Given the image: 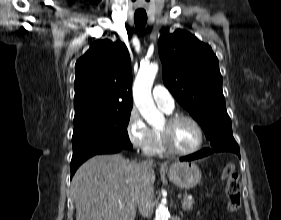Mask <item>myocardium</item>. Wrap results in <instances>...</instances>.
Instances as JSON below:
<instances>
[{
    "mask_svg": "<svg viewBox=\"0 0 281 220\" xmlns=\"http://www.w3.org/2000/svg\"><path fill=\"white\" fill-rule=\"evenodd\" d=\"M186 120L191 122L195 128L197 129L198 132V143L196 144L195 147H193L190 150H179L174 145L172 144L171 138H170V130L175 125L177 122ZM159 136L160 140L162 143L163 148L165 149L166 152L175 154V155H181V156H187V155H192L196 152H198L204 142V131L200 123L192 116L186 115V114H173L167 117L166 119V126L164 129H159Z\"/></svg>",
    "mask_w": 281,
    "mask_h": 220,
    "instance_id": "1",
    "label": "myocardium"
}]
</instances>
